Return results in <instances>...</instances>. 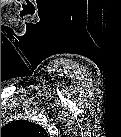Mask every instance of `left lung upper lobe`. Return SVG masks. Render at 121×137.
Segmentation results:
<instances>
[{"instance_id": "obj_1", "label": "left lung upper lobe", "mask_w": 121, "mask_h": 137, "mask_svg": "<svg viewBox=\"0 0 121 137\" xmlns=\"http://www.w3.org/2000/svg\"><path fill=\"white\" fill-rule=\"evenodd\" d=\"M1 131L4 136L10 137H43L47 135L44 128L26 120L13 121L4 126Z\"/></svg>"}]
</instances>
